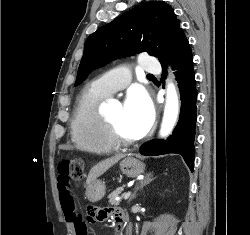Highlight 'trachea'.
<instances>
[{"label": "trachea", "mask_w": 250, "mask_h": 235, "mask_svg": "<svg viewBox=\"0 0 250 235\" xmlns=\"http://www.w3.org/2000/svg\"><path fill=\"white\" fill-rule=\"evenodd\" d=\"M147 77H154L152 74H148Z\"/></svg>", "instance_id": "trachea-1"}]
</instances>
